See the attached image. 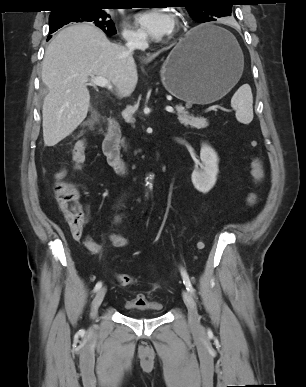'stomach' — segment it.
Instances as JSON below:
<instances>
[{"label":"stomach","instance_id":"obj_1","mask_svg":"<svg viewBox=\"0 0 306 387\" xmlns=\"http://www.w3.org/2000/svg\"><path fill=\"white\" fill-rule=\"evenodd\" d=\"M244 56L225 29L204 24L193 28L172 49L161 68L169 93L191 104H209L225 96L239 81Z\"/></svg>","mask_w":306,"mask_h":387}]
</instances>
